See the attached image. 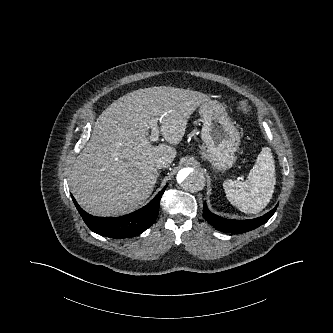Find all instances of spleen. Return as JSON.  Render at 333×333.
Here are the masks:
<instances>
[{
  "instance_id": "1",
  "label": "spleen",
  "mask_w": 333,
  "mask_h": 333,
  "mask_svg": "<svg viewBox=\"0 0 333 333\" xmlns=\"http://www.w3.org/2000/svg\"><path fill=\"white\" fill-rule=\"evenodd\" d=\"M275 183V164L271 149L264 147L248 174V180H227L223 182V188L232 205L244 213L256 214L270 202Z\"/></svg>"
}]
</instances>
